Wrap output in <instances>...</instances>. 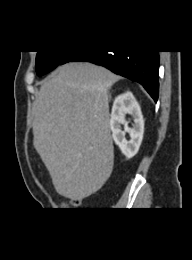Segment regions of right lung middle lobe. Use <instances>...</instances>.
Masks as SVG:
<instances>
[{"label": "right lung middle lobe", "mask_w": 192, "mask_h": 260, "mask_svg": "<svg viewBox=\"0 0 192 260\" xmlns=\"http://www.w3.org/2000/svg\"><path fill=\"white\" fill-rule=\"evenodd\" d=\"M69 51H38L36 56V72L42 76L62 63Z\"/></svg>", "instance_id": "1"}]
</instances>
